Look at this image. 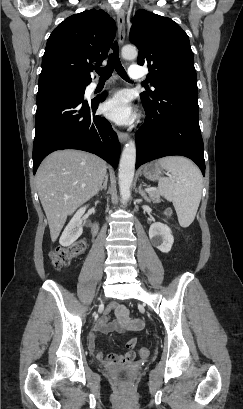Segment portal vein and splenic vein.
Here are the masks:
<instances>
[{
  "label": "portal vein and splenic vein",
  "instance_id": "18ae733b",
  "mask_svg": "<svg viewBox=\"0 0 243 409\" xmlns=\"http://www.w3.org/2000/svg\"><path fill=\"white\" fill-rule=\"evenodd\" d=\"M146 191L151 192V191H154V189L153 188H148V189H146Z\"/></svg>",
  "mask_w": 243,
  "mask_h": 409
}]
</instances>
